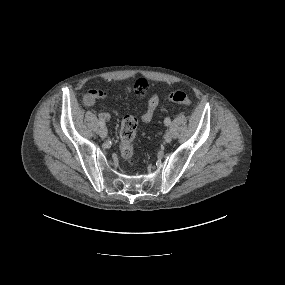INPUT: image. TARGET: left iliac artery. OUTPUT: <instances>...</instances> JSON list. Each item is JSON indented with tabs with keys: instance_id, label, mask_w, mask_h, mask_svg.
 <instances>
[{
	"instance_id": "44dca946",
	"label": "left iliac artery",
	"mask_w": 285,
	"mask_h": 285,
	"mask_svg": "<svg viewBox=\"0 0 285 285\" xmlns=\"http://www.w3.org/2000/svg\"><path fill=\"white\" fill-rule=\"evenodd\" d=\"M170 123H171V121H170L169 118H166V119L164 120V124H165L166 126H169Z\"/></svg>"
}]
</instances>
